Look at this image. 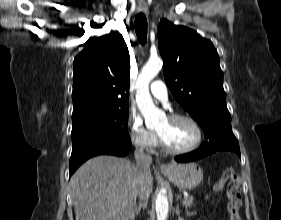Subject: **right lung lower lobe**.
<instances>
[{"mask_svg":"<svg viewBox=\"0 0 281 220\" xmlns=\"http://www.w3.org/2000/svg\"><path fill=\"white\" fill-rule=\"evenodd\" d=\"M130 148L131 142H110L86 144L72 149L69 175L71 176L83 162L91 157L98 155L125 156L130 151Z\"/></svg>","mask_w":281,"mask_h":220,"instance_id":"right-lung-lower-lobe-1","label":"right lung lower lobe"}]
</instances>
